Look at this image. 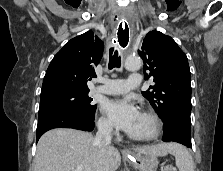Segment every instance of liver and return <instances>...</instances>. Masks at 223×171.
<instances>
[{"mask_svg":"<svg viewBox=\"0 0 223 171\" xmlns=\"http://www.w3.org/2000/svg\"><path fill=\"white\" fill-rule=\"evenodd\" d=\"M173 144L160 143L136 148L142 154L166 156ZM121 157L116 148H100L92 134L69 128H56L46 132L38 141L34 171H116Z\"/></svg>","mask_w":223,"mask_h":171,"instance_id":"obj_1","label":"liver"}]
</instances>
